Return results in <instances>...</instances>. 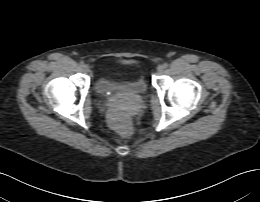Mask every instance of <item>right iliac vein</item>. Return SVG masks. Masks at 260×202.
Instances as JSON below:
<instances>
[{"instance_id": "right-iliac-vein-1", "label": "right iliac vein", "mask_w": 260, "mask_h": 202, "mask_svg": "<svg viewBox=\"0 0 260 202\" xmlns=\"http://www.w3.org/2000/svg\"><path fill=\"white\" fill-rule=\"evenodd\" d=\"M83 71H84L85 73H88V72L90 71V67H89L88 65H84V66H83Z\"/></svg>"}]
</instances>
